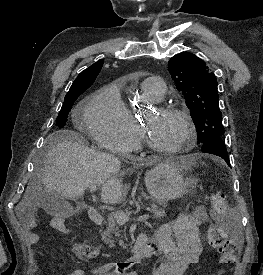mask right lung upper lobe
<instances>
[{"mask_svg": "<svg viewBox=\"0 0 263 275\" xmlns=\"http://www.w3.org/2000/svg\"><path fill=\"white\" fill-rule=\"evenodd\" d=\"M102 66L103 60H99L84 71H82L74 80L67 94L89 88L98 76Z\"/></svg>", "mask_w": 263, "mask_h": 275, "instance_id": "cb5924a9", "label": "right lung upper lobe"}]
</instances>
